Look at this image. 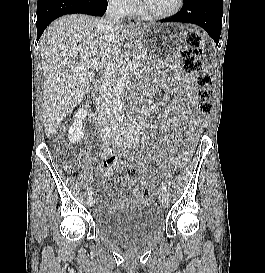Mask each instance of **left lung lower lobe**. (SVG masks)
Instances as JSON below:
<instances>
[{
  "label": "left lung lower lobe",
  "mask_w": 265,
  "mask_h": 273,
  "mask_svg": "<svg viewBox=\"0 0 265 273\" xmlns=\"http://www.w3.org/2000/svg\"><path fill=\"white\" fill-rule=\"evenodd\" d=\"M161 22L196 24L205 29L218 44L222 28V0H184L180 12Z\"/></svg>",
  "instance_id": "0a47b994"
}]
</instances>
